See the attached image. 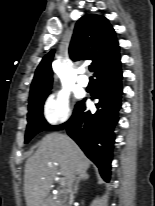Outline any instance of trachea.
<instances>
[{
    "mask_svg": "<svg viewBox=\"0 0 155 206\" xmlns=\"http://www.w3.org/2000/svg\"><path fill=\"white\" fill-rule=\"evenodd\" d=\"M89 70L92 72V71H93V67H92V66H90V67H89Z\"/></svg>",
    "mask_w": 155,
    "mask_h": 206,
    "instance_id": "3493384b",
    "label": "trachea"
}]
</instances>
